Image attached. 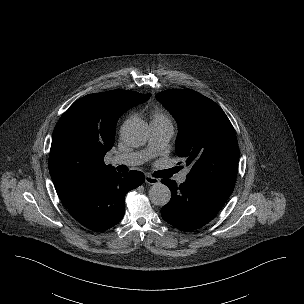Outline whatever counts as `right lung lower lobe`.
<instances>
[{
	"mask_svg": "<svg viewBox=\"0 0 304 304\" xmlns=\"http://www.w3.org/2000/svg\"><path fill=\"white\" fill-rule=\"evenodd\" d=\"M144 180L142 172L122 174L112 168L100 174L76 201L67 206L68 211L88 229H109L124 216V198L127 192L137 188Z\"/></svg>",
	"mask_w": 304,
	"mask_h": 304,
	"instance_id": "1",
	"label": "right lung lower lobe"
}]
</instances>
